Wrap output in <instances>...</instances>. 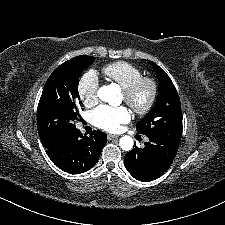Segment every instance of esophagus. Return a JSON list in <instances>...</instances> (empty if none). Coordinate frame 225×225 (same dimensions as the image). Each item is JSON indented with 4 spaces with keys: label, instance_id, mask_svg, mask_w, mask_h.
Masks as SVG:
<instances>
[{
    "label": "esophagus",
    "instance_id": "1",
    "mask_svg": "<svg viewBox=\"0 0 225 225\" xmlns=\"http://www.w3.org/2000/svg\"><path fill=\"white\" fill-rule=\"evenodd\" d=\"M107 138L109 140H117L119 138V136L118 135H113V134H108Z\"/></svg>",
    "mask_w": 225,
    "mask_h": 225
}]
</instances>
